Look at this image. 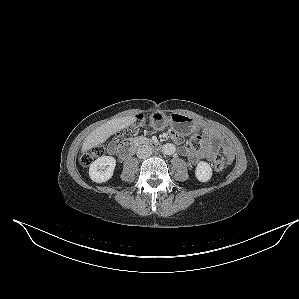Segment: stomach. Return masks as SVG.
Instances as JSON below:
<instances>
[{
    "instance_id": "stomach-1",
    "label": "stomach",
    "mask_w": 299,
    "mask_h": 299,
    "mask_svg": "<svg viewBox=\"0 0 299 299\" xmlns=\"http://www.w3.org/2000/svg\"><path fill=\"white\" fill-rule=\"evenodd\" d=\"M151 126L156 130H163L168 126L175 127L179 132L188 134L193 127V120L182 114L167 116L161 111H155L150 116Z\"/></svg>"
}]
</instances>
